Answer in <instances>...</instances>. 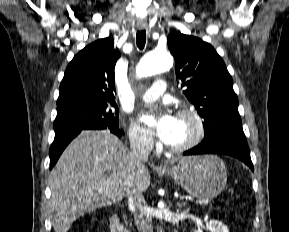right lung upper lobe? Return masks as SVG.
Masks as SVG:
<instances>
[{"label":"right lung upper lobe","instance_id":"1","mask_svg":"<svg viewBox=\"0 0 289 232\" xmlns=\"http://www.w3.org/2000/svg\"><path fill=\"white\" fill-rule=\"evenodd\" d=\"M112 37L99 39L81 50L66 68L57 107L77 101L115 102L114 68L120 57Z\"/></svg>","mask_w":289,"mask_h":232}]
</instances>
